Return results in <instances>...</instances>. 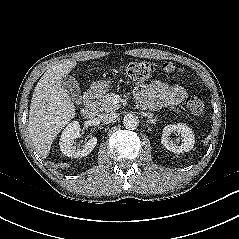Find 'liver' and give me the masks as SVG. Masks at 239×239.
<instances>
[{"mask_svg": "<svg viewBox=\"0 0 239 239\" xmlns=\"http://www.w3.org/2000/svg\"><path fill=\"white\" fill-rule=\"evenodd\" d=\"M75 60L49 68L32 95L28 130L35 149L46 158L59 132L75 117V106L62 88V79L76 66Z\"/></svg>", "mask_w": 239, "mask_h": 239, "instance_id": "1", "label": "liver"}]
</instances>
